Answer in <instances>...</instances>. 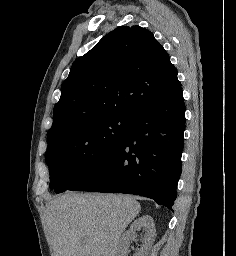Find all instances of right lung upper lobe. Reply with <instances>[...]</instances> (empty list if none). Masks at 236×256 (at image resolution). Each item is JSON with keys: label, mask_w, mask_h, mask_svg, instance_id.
<instances>
[{"label": "right lung upper lobe", "mask_w": 236, "mask_h": 256, "mask_svg": "<svg viewBox=\"0 0 236 256\" xmlns=\"http://www.w3.org/2000/svg\"><path fill=\"white\" fill-rule=\"evenodd\" d=\"M180 86L177 70L152 32L118 27L73 63L48 136L91 120H135L146 106Z\"/></svg>", "instance_id": "cb5924a9"}]
</instances>
